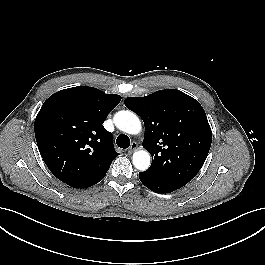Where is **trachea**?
<instances>
[{"label": "trachea", "instance_id": "obj_1", "mask_svg": "<svg viewBox=\"0 0 265 265\" xmlns=\"http://www.w3.org/2000/svg\"><path fill=\"white\" fill-rule=\"evenodd\" d=\"M116 144L118 147L126 149L130 146V139L128 136L121 134L117 137Z\"/></svg>", "mask_w": 265, "mask_h": 265}]
</instances>
